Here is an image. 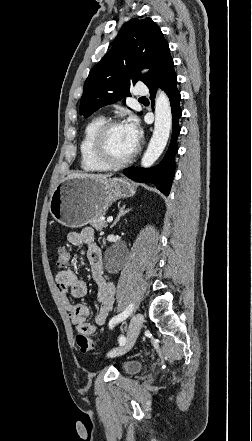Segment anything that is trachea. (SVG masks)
Masks as SVG:
<instances>
[{"instance_id": "3493384b", "label": "trachea", "mask_w": 252, "mask_h": 441, "mask_svg": "<svg viewBox=\"0 0 252 441\" xmlns=\"http://www.w3.org/2000/svg\"><path fill=\"white\" fill-rule=\"evenodd\" d=\"M139 100H146V97H141L139 98Z\"/></svg>"}]
</instances>
